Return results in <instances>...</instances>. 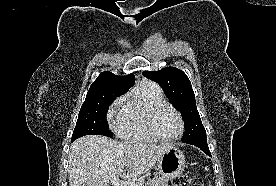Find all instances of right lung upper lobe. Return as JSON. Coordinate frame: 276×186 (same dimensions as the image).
<instances>
[{
    "label": "right lung upper lobe",
    "instance_id": "1",
    "mask_svg": "<svg viewBox=\"0 0 276 186\" xmlns=\"http://www.w3.org/2000/svg\"><path fill=\"white\" fill-rule=\"evenodd\" d=\"M135 82L133 74L127 76H116L111 72L104 71L92 83L88 93L92 92H114L124 94Z\"/></svg>",
    "mask_w": 276,
    "mask_h": 186
}]
</instances>
